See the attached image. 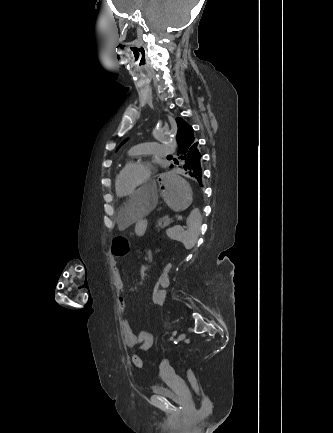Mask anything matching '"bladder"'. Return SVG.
Instances as JSON below:
<instances>
[{"mask_svg":"<svg viewBox=\"0 0 333 433\" xmlns=\"http://www.w3.org/2000/svg\"><path fill=\"white\" fill-rule=\"evenodd\" d=\"M151 390L155 395L165 397V398H167L173 402H176V403L183 402L186 400V397L184 395L174 392L169 387H167L166 385H163V384L162 385H154V386H152Z\"/></svg>","mask_w":333,"mask_h":433,"instance_id":"bladder-1","label":"bladder"}]
</instances>
